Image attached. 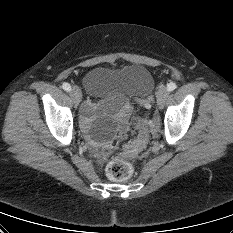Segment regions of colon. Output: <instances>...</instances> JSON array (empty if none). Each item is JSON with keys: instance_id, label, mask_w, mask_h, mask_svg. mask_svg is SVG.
I'll return each instance as SVG.
<instances>
[{"instance_id": "5ec220e1", "label": "colon", "mask_w": 233, "mask_h": 233, "mask_svg": "<svg viewBox=\"0 0 233 233\" xmlns=\"http://www.w3.org/2000/svg\"><path fill=\"white\" fill-rule=\"evenodd\" d=\"M152 103V98L148 97L141 101V106L144 108H150ZM137 137L133 142H131L126 147V152L128 154H139L141 153L145 146L148 143L149 135L147 129V122L143 119H140L137 122ZM106 173L109 179L113 181H124L128 179L133 173V166L131 163L122 160L116 159L111 161L106 167Z\"/></svg>"}]
</instances>
